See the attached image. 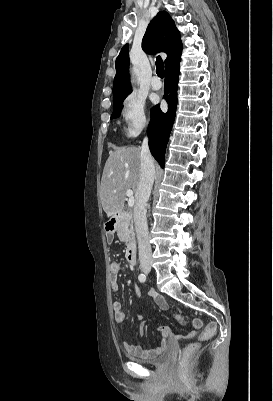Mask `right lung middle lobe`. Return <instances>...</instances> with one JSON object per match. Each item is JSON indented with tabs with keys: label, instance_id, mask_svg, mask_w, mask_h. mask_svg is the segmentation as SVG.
Segmentation results:
<instances>
[{
	"label": "right lung middle lobe",
	"instance_id": "1",
	"mask_svg": "<svg viewBox=\"0 0 273 401\" xmlns=\"http://www.w3.org/2000/svg\"><path fill=\"white\" fill-rule=\"evenodd\" d=\"M121 105L113 108V113L111 115V119L112 118H116V117H118L120 115V113H121Z\"/></svg>",
	"mask_w": 273,
	"mask_h": 401
}]
</instances>
